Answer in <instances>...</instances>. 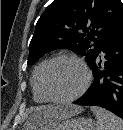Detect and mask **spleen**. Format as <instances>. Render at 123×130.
Masks as SVG:
<instances>
[{
  "label": "spleen",
  "mask_w": 123,
  "mask_h": 130,
  "mask_svg": "<svg viewBox=\"0 0 123 130\" xmlns=\"http://www.w3.org/2000/svg\"><path fill=\"white\" fill-rule=\"evenodd\" d=\"M91 110L97 119V130H123V120L115 114L97 106H92Z\"/></svg>",
  "instance_id": "3e777b00"
}]
</instances>
